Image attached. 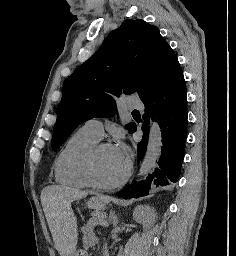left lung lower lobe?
<instances>
[{
  "label": "left lung lower lobe",
  "instance_id": "left-lung-lower-lobe-1",
  "mask_svg": "<svg viewBox=\"0 0 236 256\" xmlns=\"http://www.w3.org/2000/svg\"><path fill=\"white\" fill-rule=\"evenodd\" d=\"M186 85L181 68L177 69L146 99L143 138L138 143V160L146 150L149 119L159 123L162 134V150L156 168L146 180L135 182L120 191L117 196L130 199L149 195L162 186L172 185L179 179L187 138ZM137 130L135 126L133 132ZM132 132V133H133Z\"/></svg>",
  "mask_w": 236,
  "mask_h": 256
}]
</instances>
